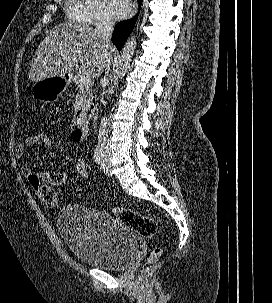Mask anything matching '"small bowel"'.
Here are the masks:
<instances>
[{
    "label": "small bowel",
    "instance_id": "c3829d8e",
    "mask_svg": "<svg viewBox=\"0 0 272 303\" xmlns=\"http://www.w3.org/2000/svg\"><path fill=\"white\" fill-rule=\"evenodd\" d=\"M71 137L74 142H79L74 133H72ZM36 141V135L28 136L23 143L16 145L15 156L19 159L23 158L27 148L35 146ZM21 171L39 196L51 192L56 186L64 184L68 178V174L64 170L33 172L30 167L22 166Z\"/></svg>",
    "mask_w": 272,
    "mask_h": 303
}]
</instances>
